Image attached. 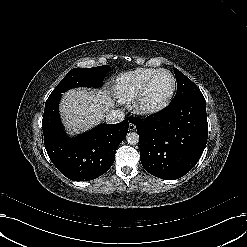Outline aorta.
<instances>
[{
  "label": "aorta",
  "mask_w": 247,
  "mask_h": 247,
  "mask_svg": "<svg viewBox=\"0 0 247 247\" xmlns=\"http://www.w3.org/2000/svg\"><path fill=\"white\" fill-rule=\"evenodd\" d=\"M126 140L130 145H136L139 143V135L136 132H129L126 136Z\"/></svg>",
  "instance_id": "aorta-1"
}]
</instances>
